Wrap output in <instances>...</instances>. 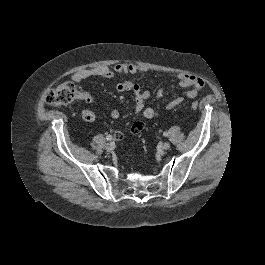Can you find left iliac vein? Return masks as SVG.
Here are the masks:
<instances>
[{"label": "left iliac vein", "mask_w": 265, "mask_h": 265, "mask_svg": "<svg viewBox=\"0 0 265 265\" xmlns=\"http://www.w3.org/2000/svg\"><path fill=\"white\" fill-rule=\"evenodd\" d=\"M170 147H171V145H170V143H168V142H165V143L163 144V149H164V150H169Z\"/></svg>", "instance_id": "left-iliac-vein-1"}]
</instances>
